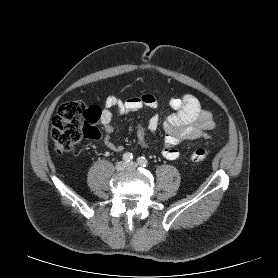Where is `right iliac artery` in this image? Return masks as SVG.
Segmentation results:
<instances>
[{"mask_svg":"<svg viewBox=\"0 0 278 278\" xmlns=\"http://www.w3.org/2000/svg\"><path fill=\"white\" fill-rule=\"evenodd\" d=\"M122 159L126 162L129 163L133 160V155L130 152H127L123 155Z\"/></svg>","mask_w":278,"mask_h":278,"instance_id":"right-iliac-artery-1","label":"right iliac artery"}]
</instances>
